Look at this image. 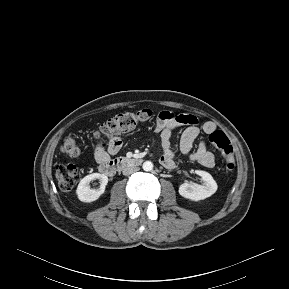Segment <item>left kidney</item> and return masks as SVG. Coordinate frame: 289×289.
I'll return each mask as SVG.
<instances>
[{
    "instance_id": "1",
    "label": "left kidney",
    "mask_w": 289,
    "mask_h": 289,
    "mask_svg": "<svg viewBox=\"0 0 289 289\" xmlns=\"http://www.w3.org/2000/svg\"><path fill=\"white\" fill-rule=\"evenodd\" d=\"M195 173L202 178L204 184L183 183L179 187V194L192 201L204 200L213 195L217 191L218 186L216 181L208 172L195 170Z\"/></svg>"
}]
</instances>
